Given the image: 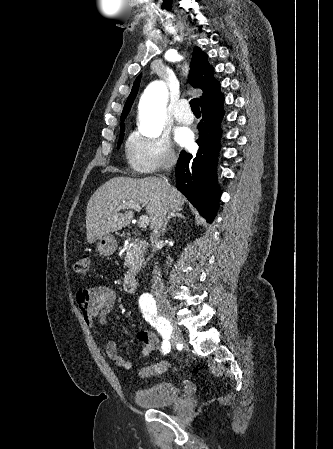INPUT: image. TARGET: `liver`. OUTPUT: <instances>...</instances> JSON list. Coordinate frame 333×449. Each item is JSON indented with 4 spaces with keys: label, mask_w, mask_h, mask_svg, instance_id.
<instances>
[{
    "label": "liver",
    "mask_w": 333,
    "mask_h": 449,
    "mask_svg": "<svg viewBox=\"0 0 333 449\" xmlns=\"http://www.w3.org/2000/svg\"><path fill=\"white\" fill-rule=\"evenodd\" d=\"M163 200L171 210L182 209L185 197L174 187L163 189V180L148 177L132 179L114 177L100 186L91 196L86 208V235L88 243H94L110 232L130 224L133 212H119V206L136 202L146 207L153 228L155 215Z\"/></svg>",
    "instance_id": "6515ba94"
}]
</instances>
